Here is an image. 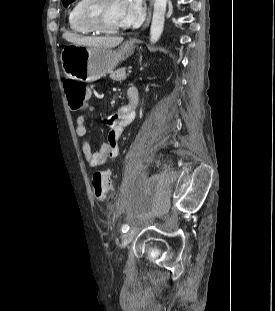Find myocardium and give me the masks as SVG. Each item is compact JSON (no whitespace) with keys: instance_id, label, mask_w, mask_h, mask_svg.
<instances>
[{"instance_id":"myocardium-1","label":"myocardium","mask_w":275,"mask_h":311,"mask_svg":"<svg viewBox=\"0 0 275 311\" xmlns=\"http://www.w3.org/2000/svg\"><path fill=\"white\" fill-rule=\"evenodd\" d=\"M108 0H85L78 10V18L93 31L102 34H116L124 26L108 27L101 20L102 11Z\"/></svg>"}]
</instances>
